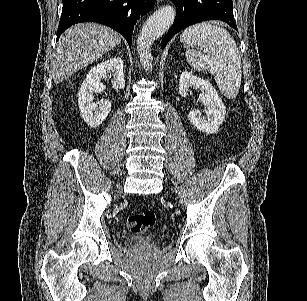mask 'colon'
I'll return each instance as SVG.
<instances>
[{
	"mask_svg": "<svg viewBox=\"0 0 307 301\" xmlns=\"http://www.w3.org/2000/svg\"><path fill=\"white\" fill-rule=\"evenodd\" d=\"M155 222V213L151 210H146L129 216L126 225L131 232L142 233L153 227Z\"/></svg>",
	"mask_w": 307,
	"mask_h": 301,
	"instance_id": "5ec220e1",
	"label": "colon"
}]
</instances>
